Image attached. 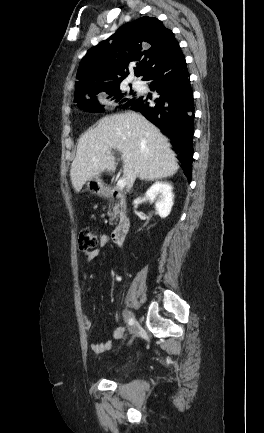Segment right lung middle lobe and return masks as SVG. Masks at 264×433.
Masks as SVG:
<instances>
[{
    "instance_id": "1",
    "label": "right lung middle lobe",
    "mask_w": 264,
    "mask_h": 433,
    "mask_svg": "<svg viewBox=\"0 0 264 433\" xmlns=\"http://www.w3.org/2000/svg\"><path fill=\"white\" fill-rule=\"evenodd\" d=\"M108 95V99L120 101V103H123V106L125 107L128 103H130L137 95L134 92L129 93H122L120 90V86L114 87L112 89H109L105 91ZM98 93L89 95L85 99H81L79 101H76V104L86 111L90 112H104L105 109L102 105L99 104V102L96 99V95Z\"/></svg>"
}]
</instances>
